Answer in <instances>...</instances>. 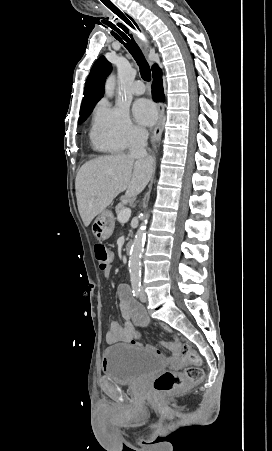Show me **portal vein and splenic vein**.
I'll use <instances>...</instances> for the list:
<instances>
[{
	"instance_id": "obj_1",
	"label": "portal vein and splenic vein",
	"mask_w": 272,
	"mask_h": 451,
	"mask_svg": "<svg viewBox=\"0 0 272 451\" xmlns=\"http://www.w3.org/2000/svg\"><path fill=\"white\" fill-rule=\"evenodd\" d=\"M131 216V210L130 208H126V210H121L120 214H118V222L120 224H126L128 222L129 218Z\"/></svg>"
}]
</instances>
